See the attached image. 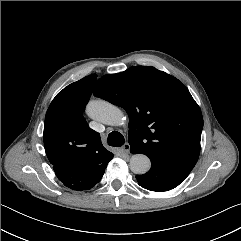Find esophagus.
I'll list each match as a JSON object with an SVG mask.
<instances>
[{
    "instance_id": "34e87169",
    "label": "esophagus",
    "mask_w": 241,
    "mask_h": 241,
    "mask_svg": "<svg viewBox=\"0 0 241 241\" xmlns=\"http://www.w3.org/2000/svg\"><path fill=\"white\" fill-rule=\"evenodd\" d=\"M121 152L123 153H130V144L129 143H125L121 148H120Z\"/></svg>"
}]
</instances>
